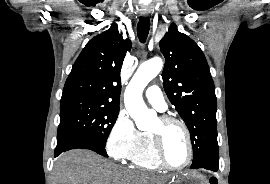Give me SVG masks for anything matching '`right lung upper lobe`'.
Returning a JSON list of instances; mask_svg holds the SVG:
<instances>
[{
    "label": "right lung upper lobe",
    "instance_id": "right-lung-upper-lobe-1",
    "mask_svg": "<svg viewBox=\"0 0 270 184\" xmlns=\"http://www.w3.org/2000/svg\"><path fill=\"white\" fill-rule=\"evenodd\" d=\"M131 41L123 40L117 24L91 39L66 80L61 100L83 98L119 107L120 70Z\"/></svg>",
    "mask_w": 270,
    "mask_h": 184
}]
</instances>
